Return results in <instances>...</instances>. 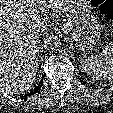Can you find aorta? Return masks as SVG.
I'll return each instance as SVG.
<instances>
[{
	"label": "aorta",
	"mask_w": 113,
	"mask_h": 113,
	"mask_svg": "<svg viewBox=\"0 0 113 113\" xmlns=\"http://www.w3.org/2000/svg\"><path fill=\"white\" fill-rule=\"evenodd\" d=\"M61 40L58 36H48L45 38L43 47L48 53H55L60 49Z\"/></svg>",
	"instance_id": "762f6f07"
}]
</instances>
